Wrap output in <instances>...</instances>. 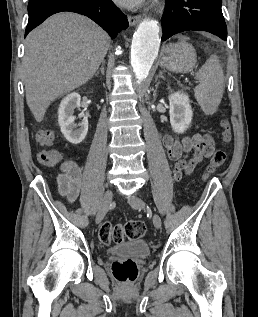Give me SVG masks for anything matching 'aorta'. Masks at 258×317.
<instances>
[{
	"label": "aorta",
	"mask_w": 258,
	"mask_h": 317,
	"mask_svg": "<svg viewBox=\"0 0 258 317\" xmlns=\"http://www.w3.org/2000/svg\"><path fill=\"white\" fill-rule=\"evenodd\" d=\"M160 28L155 20H144L134 33L131 45V65L136 82L145 80L160 47Z\"/></svg>",
	"instance_id": "762f6f07"
}]
</instances>
